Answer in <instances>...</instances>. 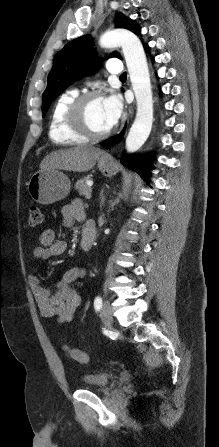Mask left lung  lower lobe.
Listing matches in <instances>:
<instances>
[{"label":"left lung lower lobe","mask_w":219,"mask_h":447,"mask_svg":"<svg viewBox=\"0 0 219 447\" xmlns=\"http://www.w3.org/2000/svg\"><path fill=\"white\" fill-rule=\"evenodd\" d=\"M123 132L124 129L121 131L120 134L105 140L102 145L108 147L118 142L119 140H121ZM121 162L128 168L137 171L141 175V177L144 178L145 181L148 180L149 170L151 168V162L149 158L127 155L122 158Z\"/></svg>","instance_id":"1"}]
</instances>
